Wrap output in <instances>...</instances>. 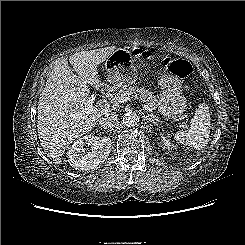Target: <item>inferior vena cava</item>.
<instances>
[{"label": "inferior vena cava", "instance_id": "1", "mask_svg": "<svg viewBox=\"0 0 245 245\" xmlns=\"http://www.w3.org/2000/svg\"><path fill=\"white\" fill-rule=\"evenodd\" d=\"M118 120V115L115 112H110L100 118L99 124L104 129H111L117 125Z\"/></svg>", "mask_w": 245, "mask_h": 245}]
</instances>
